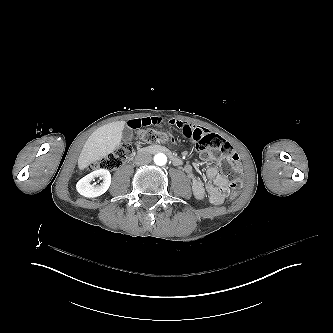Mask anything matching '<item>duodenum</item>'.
Segmentation results:
<instances>
[{"label": "duodenum", "mask_w": 333, "mask_h": 333, "mask_svg": "<svg viewBox=\"0 0 333 333\" xmlns=\"http://www.w3.org/2000/svg\"><path fill=\"white\" fill-rule=\"evenodd\" d=\"M137 153L139 155L147 154V153H150V154L163 153L171 159V161L173 162L174 165H176V166L181 165L180 158L177 157L176 155H174L169 149H167L164 146L153 145V146L144 147V148H141Z\"/></svg>", "instance_id": "1"}]
</instances>
